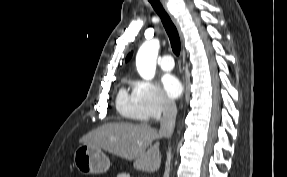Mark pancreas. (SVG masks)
<instances>
[{
	"instance_id": "obj_1",
	"label": "pancreas",
	"mask_w": 287,
	"mask_h": 177,
	"mask_svg": "<svg viewBox=\"0 0 287 177\" xmlns=\"http://www.w3.org/2000/svg\"><path fill=\"white\" fill-rule=\"evenodd\" d=\"M117 177H130V175L127 173H120L117 175Z\"/></svg>"
}]
</instances>
